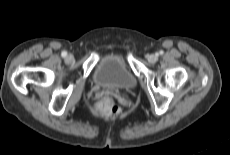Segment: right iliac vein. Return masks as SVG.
<instances>
[{
    "label": "right iliac vein",
    "mask_w": 230,
    "mask_h": 155,
    "mask_svg": "<svg viewBox=\"0 0 230 155\" xmlns=\"http://www.w3.org/2000/svg\"><path fill=\"white\" fill-rule=\"evenodd\" d=\"M73 60H74V57L71 54L66 57V62L67 63H71V62H73Z\"/></svg>",
    "instance_id": "obj_1"
}]
</instances>
